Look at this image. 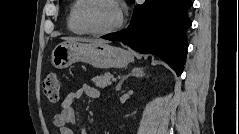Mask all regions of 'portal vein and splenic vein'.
Masks as SVG:
<instances>
[{
  "label": "portal vein and splenic vein",
  "mask_w": 239,
  "mask_h": 134,
  "mask_svg": "<svg viewBox=\"0 0 239 134\" xmlns=\"http://www.w3.org/2000/svg\"><path fill=\"white\" fill-rule=\"evenodd\" d=\"M117 79L116 78H112V81L115 82Z\"/></svg>",
  "instance_id": "portal-vein-and-splenic-vein-1"
}]
</instances>
